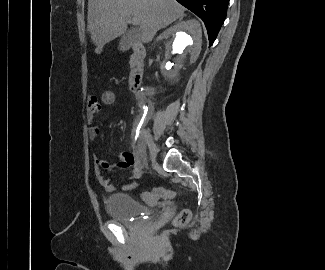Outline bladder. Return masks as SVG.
I'll return each mask as SVG.
<instances>
[{"label":"bladder","mask_w":325,"mask_h":270,"mask_svg":"<svg viewBox=\"0 0 325 270\" xmlns=\"http://www.w3.org/2000/svg\"><path fill=\"white\" fill-rule=\"evenodd\" d=\"M106 210L110 218L132 227L145 219L149 210L127 194H113L106 199Z\"/></svg>","instance_id":"bladder-1"}]
</instances>
